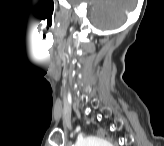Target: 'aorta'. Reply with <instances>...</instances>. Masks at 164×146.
I'll list each match as a JSON object with an SVG mask.
<instances>
[{"label":"aorta","mask_w":164,"mask_h":146,"mask_svg":"<svg viewBox=\"0 0 164 146\" xmlns=\"http://www.w3.org/2000/svg\"><path fill=\"white\" fill-rule=\"evenodd\" d=\"M78 144V146H108L109 142L98 137H88L81 140Z\"/></svg>","instance_id":"1"}]
</instances>
